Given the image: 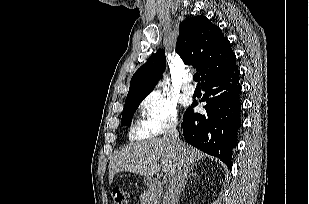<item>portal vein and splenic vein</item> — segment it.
<instances>
[{"label":"portal vein and splenic vein","mask_w":309,"mask_h":204,"mask_svg":"<svg viewBox=\"0 0 309 204\" xmlns=\"http://www.w3.org/2000/svg\"><path fill=\"white\" fill-rule=\"evenodd\" d=\"M164 179L165 180L170 179V175L166 173V175L164 176Z\"/></svg>","instance_id":"18ae733b"}]
</instances>
